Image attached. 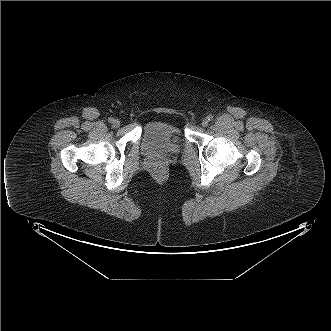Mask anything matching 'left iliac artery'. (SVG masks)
Here are the masks:
<instances>
[{
  "instance_id": "obj_1",
  "label": "left iliac artery",
  "mask_w": 331,
  "mask_h": 331,
  "mask_svg": "<svg viewBox=\"0 0 331 331\" xmlns=\"http://www.w3.org/2000/svg\"><path fill=\"white\" fill-rule=\"evenodd\" d=\"M207 119H208L209 121H211V120L213 119V116H212V115H209V116L207 117Z\"/></svg>"
}]
</instances>
